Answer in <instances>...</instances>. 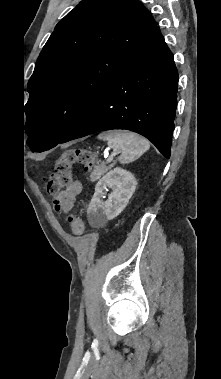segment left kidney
Masks as SVG:
<instances>
[{
  "label": "left kidney",
  "instance_id": "left-kidney-1",
  "mask_svg": "<svg viewBox=\"0 0 221 379\" xmlns=\"http://www.w3.org/2000/svg\"><path fill=\"white\" fill-rule=\"evenodd\" d=\"M137 181L134 175L122 168H114L102 177L95 186V193L87 209L90 225L101 226L117 217L127 206L135 192ZM111 188L108 200H101L103 191Z\"/></svg>",
  "mask_w": 221,
  "mask_h": 379
}]
</instances>
